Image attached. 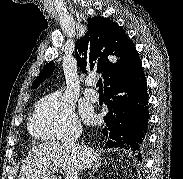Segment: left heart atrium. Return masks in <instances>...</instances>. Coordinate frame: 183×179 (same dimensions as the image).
Segmentation results:
<instances>
[{
    "label": "left heart atrium",
    "instance_id": "39dd6f15",
    "mask_svg": "<svg viewBox=\"0 0 183 179\" xmlns=\"http://www.w3.org/2000/svg\"><path fill=\"white\" fill-rule=\"evenodd\" d=\"M82 114L86 121H91L93 119V113H92L91 109H89V108H84L82 110Z\"/></svg>",
    "mask_w": 183,
    "mask_h": 179
}]
</instances>
